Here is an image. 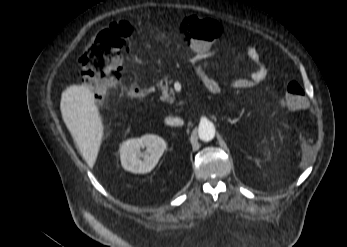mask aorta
<instances>
[{
	"instance_id": "762f6f07",
	"label": "aorta",
	"mask_w": 347,
	"mask_h": 247,
	"mask_svg": "<svg viewBox=\"0 0 347 247\" xmlns=\"http://www.w3.org/2000/svg\"><path fill=\"white\" fill-rule=\"evenodd\" d=\"M215 136V127L214 125L207 121L199 125V137L203 141H210Z\"/></svg>"
}]
</instances>
